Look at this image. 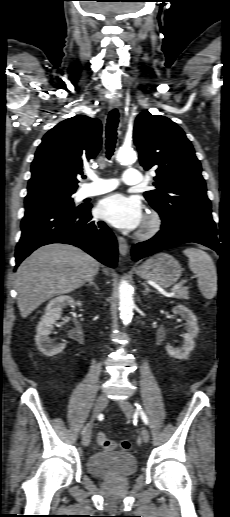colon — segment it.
<instances>
[{"label": "colon", "mask_w": 230, "mask_h": 517, "mask_svg": "<svg viewBox=\"0 0 230 517\" xmlns=\"http://www.w3.org/2000/svg\"><path fill=\"white\" fill-rule=\"evenodd\" d=\"M97 442L103 449L106 450L114 449L117 446L123 451H128L131 448V444L129 441L123 440L116 444L114 441L110 440L104 433L98 434Z\"/></svg>", "instance_id": "5ec220e1"}]
</instances>
